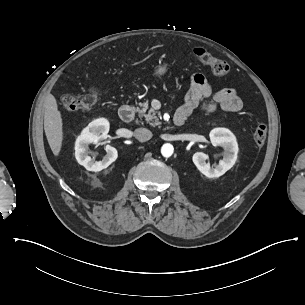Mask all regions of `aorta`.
<instances>
[{"mask_svg":"<svg viewBox=\"0 0 305 305\" xmlns=\"http://www.w3.org/2000/svg\"><path fill=\"white\" fill-rule=\"evenodd\" d=\"M173 152H174V148L170 143H165L161 147V154L166 158L170 157L173 154Z\"/></svg>","mask_w":305,"mask_h":305,"instance_id":"762f6f07","label":"aorta"}]
</instances>
